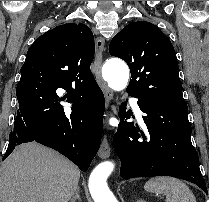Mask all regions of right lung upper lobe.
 <instances>
[{
	"label": "right lung upper lobe",
	"instance_id": "obj_1",
	"mask_svg": "<svg viewBox=\"0 0 209 202\" xmlns=\"http://www.w3.org/2000/svg\"><path fill=\"white\" fill-rule=\"evenodd\" d=\"M95 44L85 24L56 26L35 40L21 68V76L48 75L61 83L84 88L96 83L90 70Z\"/></svg>",
	"mask_w": 209,
	"mask_h": 202
}]
</instances>
